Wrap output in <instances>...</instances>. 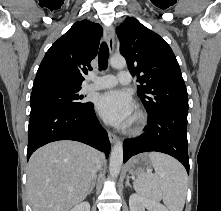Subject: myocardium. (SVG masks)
<instances>
[{
	"instance_id": "f54148a6",
	"label": "myocardium",
	"mask_w": 221,
	"mask_h": 211,
	"mask_svg": "<svg viewBox=\"0 0 221 211\" xmlns=\"http://www.w3.org/2000/svg\"><path fill=\"white\" fill-rule=\"evenodd\" d=\"M146 115L142 111H137L132 119L131 125L128 129L131 134H138L146 125Z\"/></svg>"
}]
</instances>
